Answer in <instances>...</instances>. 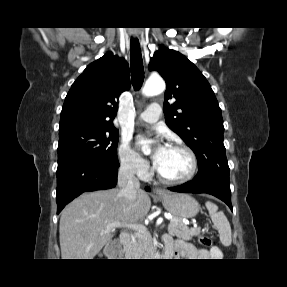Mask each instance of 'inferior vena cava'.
I'll return each instance as SVG.
<instances>
[{"label":"inferior vena cava","instance_id":"inferior-vena-cava-1","mask_svg":"<svg viewBox=\"0 0 287 287\" xmlns=\"http://www.w3.org/2000/svg\"><path fill=\"white\" fill-rule=\"evenodd\" d=\"M118 186L122 195L130 202L136 200L140 190V182L135 176V170L129 163H122L118 172Z\"/></svg>","mask_w":287,"mask_h":287}]
</instances>
